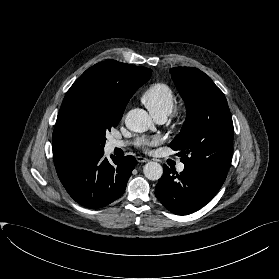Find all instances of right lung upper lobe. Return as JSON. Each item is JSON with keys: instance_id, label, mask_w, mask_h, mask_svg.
<instances>
[{"instance_id": "right-lung-upper-lobe-1", "label": "right lung upper lobe", "mask_w": 279, "mask_h": 279, "mask_svg": "<svg viewBox=\"0 0 279 279\" xmlns=\"http://www.w3.org/2000/svg\"><path fill=\"white\" fill-rule=\"evenodd\" d=\"M151 69L107 60L87 69L70 87L99 113L121 118L130 97L151 77ZM55 167L72 160L52 143Z\"/></svg>"}]
</instances>
